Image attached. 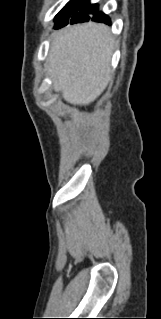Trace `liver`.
Wrapping results in <instances>:
<instances>
[{"label":"liver","mask_w":161,"mask_h":319,"mask_svg":"<svg viewBox=\"0 0 161 319\" xmlns=\"http://www.w3.org/2000/svg\"><path fill=\"white\" fill-rule=\"evenodd\" d=\"M114 39L106 25L88 22L53 33L48 74L53 88L73 105H89L106 88Z\"/></svg>","instance_id":"1"}]
</instances>
